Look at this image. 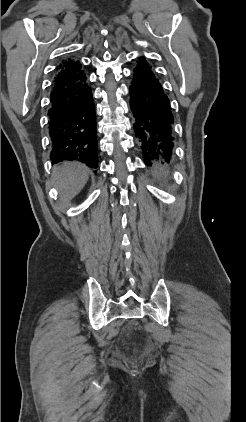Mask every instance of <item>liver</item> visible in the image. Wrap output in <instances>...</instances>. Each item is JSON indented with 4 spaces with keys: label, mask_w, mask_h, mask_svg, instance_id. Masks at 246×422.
I'll use <instances>...</instances> for the list:
<instances>
[{
    "label": "liver",
    "mask_w": 246,
    "mask_h": 422,
    "mask_svg": "<svg viewBox=\"0 0 246 422\" xmlns=\"http://www.w3.org/2000/svg\"><path fill=\"white\" fill-rule=\"evenodd\" d=\"M52 178L59 190L60 200L69 202L87 183L89 168L79 162H64L53 169Z\"/></svg>",
    "instance_id": "1"
}]
</instances>
